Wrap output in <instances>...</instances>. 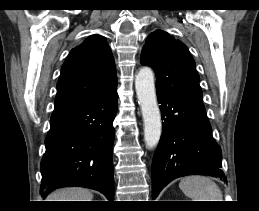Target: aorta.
I'll return each mask as SVG.
<instances>
[{
  "instance_id": "aorta-1",
  "label": "aorta",
  "mask_w": 259,
  "mask_h": 211,
  "mask_svg": "<svg viewBox=\"0 0 259 211\" xmlns=\"http://www.w3.org/2000/svg\"><path fill=\"white\" fill-rule=\"evenodd\" d=\"M135 89L144 122V141L146 147L152 149L158 145L162 132L152 69L143 67L139 70L135 78Z\"/></svg>"
}]
</instances>
